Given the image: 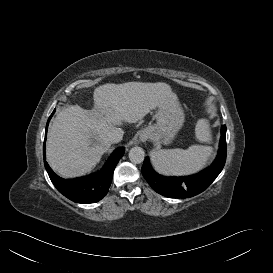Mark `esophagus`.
<instances>
[{"mask_svg":"<svg viewBox=\"0 0 273 273\" xmlns=\"http://www.w3.org/2000/svg\"><path fill=\"white\" fill-rule=\"evenodd\" d=\"M150 138L148 131H143L139 137L140 142H146Z\"/></svg>","mask_w":273,"mask_h":273,"instance_id":"esophagus-1","label":"esophagus"}]
</instances>
